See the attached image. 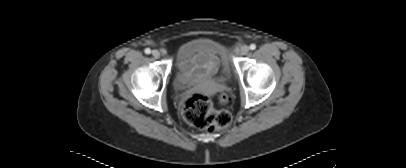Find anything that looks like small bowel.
Here are the masks:
<instances>
[{
    "instance_id": "obj_1",
    "label": "small bowel",
    "mask_w": 406,
    "mask_h": 168,
    "mask_svg": "<svg viewBox=\"0 0 406 168\" xmlns=\"http://www.w3.org/2000/svg\"><path fill=\"white\" fill-rule=\"evenodd\" d=\"M217 63L209 56L203 54H196L188 62L185 63L184 70L186 72H192L197 70L202 73L215 72Z\"/></svg>"
}]
</instances>
